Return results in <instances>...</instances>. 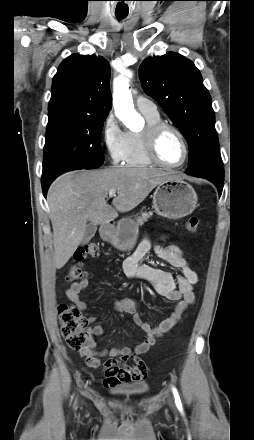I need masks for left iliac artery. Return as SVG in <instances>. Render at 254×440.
<instances>
[{"label":"left iliac artery","instance_id":"44dca946","mask_svg":"<svg viewBox=\"0 0 254 440\" xmlns=\"http://www.w3.org/2000/svg\"><path fill=\"white\" fill-rule=\"evenodd\" d=\"M172 392H173V395H174V398H175V404H176L178 410L182 411L183 407H182V403H181V400H180V396L178 394L177 389L174 386H172Z\"/></svg>","mask_w":254,"mask_h":440}]
</instances>
